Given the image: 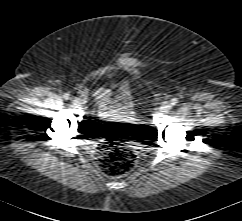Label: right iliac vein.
Returning a JSON list of instances; mask_svg holds the SVG:
<instances>
[{
  "label": "right iliac vein",
  "instance_id": "right-iliac-vein-1",
  "mask_svg": "<svg viewBox=\"0 0 242 221\" xmlns=\"http://www.w3.org/2000/svg\"><path fill=\"white\" fill-rule=\"evenodd\" d=\"M72 104L74 105V106H79L80 105V102H79V100H77V99H73L72 100Z\"/></svg>",
  "mask_w": 242,
  "mask_h": 221
}]
</instances>
